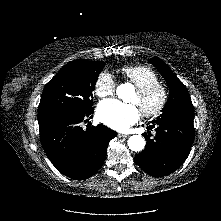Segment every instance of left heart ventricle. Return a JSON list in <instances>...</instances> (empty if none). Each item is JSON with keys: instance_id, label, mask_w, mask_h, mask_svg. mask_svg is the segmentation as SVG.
<instances>
[{"instance_id": "b2bd125f", "label": "left heart ventricle", "mask_w": 221, "mask_h": 221, "mask_svg": "<svg viewBox=\"0 0 221 221\" xmlns=\"http://www.w3.org/2000/svg\"><path fill=\"white\" fill-rule=\"evenodd\" d=\"M130 101L139 106L140 101L136 95V92L131 96ZM157 101H158V95L155 94V95L151 96L144 104L148 107H153L157 103Z\"/></svg>"}]
</instances>
